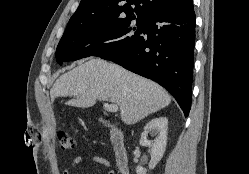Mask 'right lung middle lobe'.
I'll return each instance as SVG.
<instances>
[{
  "mask_svg": "<svg viewBox=\"0 0 249 174\" xmlns=\"http://www.w3.org/2000/svg\"><path fill=\"white\" fill-rule=\"evenodd\" d=\"M134 17L118 18L105 22L67 27L56 50V61H74L89 56L114 54L134 44L141 36L144 21L137 19V27H131ZM137 30L132 36L129 32Z\"/></svg>",
  "mask_w": 249,
  "mask_h": 174,
  "instance_id": "1",
  "label": "right lung middle lobe"
}]
</instances>
